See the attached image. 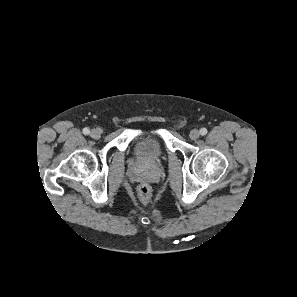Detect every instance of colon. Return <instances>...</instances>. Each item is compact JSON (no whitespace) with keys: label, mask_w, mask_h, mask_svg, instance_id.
I'll list each match as a JSON object with an SVG mask.
<instances>
[{"label":"colon","mask_w":297,"mask_h":297,"mask_svg":"<svg viewBox=\"0 0 297 297\" xmlns=\"http://www.w3.org/2000/svg\"><path fill=\"white\" fill-rule=\"evenodd\" d=\"M138 196L142 202H148L151 199L152 191L150 186L143 184L139 187Z\"/></svg>","instance_id":"1"}]
</instances>
